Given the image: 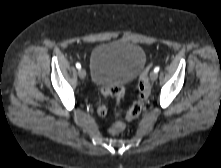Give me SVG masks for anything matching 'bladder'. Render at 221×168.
I'll return each mask as SVG.
<instances>
[{
  "label": "bladder",
  "instance_id": "obj_1",
  "mask_svg": "<svg viewBox=\"0 0 221 168\" xmlns=\"http://www.w3.org/2000/svg\"><path fill=\"white\" fill-rule=\"evenodd\" d=\"M145 62L146 54L137 44L124 40L101 43L91 51V79L102 87L126 84L140 74Z\"/></svg>",
  "mask_w": 221,
  "mask_h": 168
}]
</instances>
